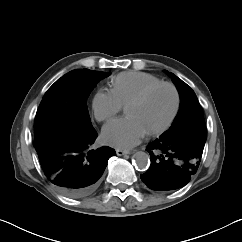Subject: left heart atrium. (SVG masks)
Instances as JSON below:
<instances>
[{"instance_id": "left-heart-atrium-1", "label": "left heart atrium", "mask_w": 242, "mask_h": 242, "mask_svg": "<svg viewBox=\"0 0 242 242\" xmlns=\"http://www.w3.org/2000/svg\"><path fill=\"white\" fill-rule=\"evenodd\" d=\"M145 135L146 131L129 114L110 121L102 130L106 144L123 149L137 145Z\"/></svg>"}]
</instances>
